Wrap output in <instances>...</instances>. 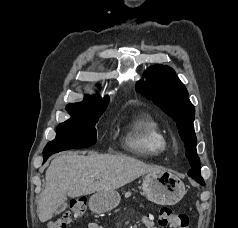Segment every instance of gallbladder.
Listing matches in <instances>:
<instances>
[{
    "label": "gallbladder",
    "mask_w": 238,
    "mask_h": 228,
    "mask_svg": "<svg viewBox=\"0 0 238 228\" xmlns=\"http://www.w3.org/2000/svg\"><path fill=\"white\" fill-rule=\"evenodd\" d=\"M66 208V205L63 204V205H60L56 210H55V213H61L62 211H64Z\"/></svg>",
    "instance_id": "obj_1"
}]
</instances>
